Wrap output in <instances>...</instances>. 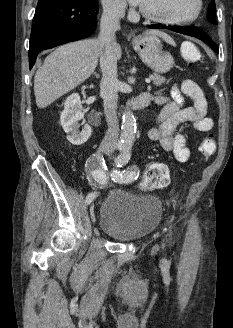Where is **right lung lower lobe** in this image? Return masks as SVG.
<instances>
[{
  "instance_id": "98d812e1",
  "label": "right lung lower lobe",
  "mask_w": 233,
  "mask_h": 328,
  "mask_svg": "<svg viewBox=\"0 0 233 328\" xmlns=\"http://www.w3.org/2000/svg\"><path fill=\"white\" fill-rule=\"evenodd\" d=\"M97 13V0H39L30 37V69L40 51L90 35Z\"/></svg>"
}]
</instances>
